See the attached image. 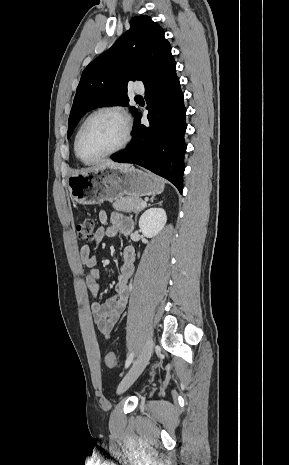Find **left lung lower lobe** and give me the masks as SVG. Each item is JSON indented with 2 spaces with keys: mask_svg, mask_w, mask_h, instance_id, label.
Instances as JSON below:
<instances>
[{
  "mask_svg": "<svg viewBox=\"0 0 289 465\" xmlns=\"http://www.w3.org/2000/svg\"><path fill=\"white\" fill-rule=\"evenodd\" d=\"M145 99L149 126L141 124L142 115L137 112L131 145L111 159L138 164L166 178L182 193L186 109L176 70L146 86Z\"/></svg>",
  "mask_w": 289,
  "mask_h": 465,
  "instance_id": "left-lung-lower-lobe-1",
  "label": "left lung lower lobe"
}]
</instances>
